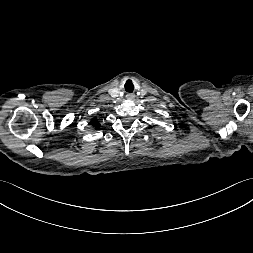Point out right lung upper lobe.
I'll use <instances>...</instances> for the list:
<instances>
[{"label":"right lung upper lobe","instance_id":"1","mask_svg":"<svg viewBox=\"0 0 253 253\" xmlns=\"http://www.w3.org/2000/svg\"><path fill=\"white\" fill-rule=\"evenodd\" d=\"M91 124L95 127V129H98L100 127V123L97 122V119L96 118H93L91 120Z\"/></svg>","mask_w":253,"mask_h":253}]
</instances>
